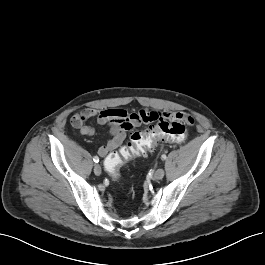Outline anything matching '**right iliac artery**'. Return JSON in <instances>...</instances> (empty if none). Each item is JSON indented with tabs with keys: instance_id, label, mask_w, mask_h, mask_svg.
Listing matches in <instances>:
<instances>
[{
	"instance_id": "82829eb1",
	"label": "right iliac artery",
	"mask_w": 265,
	"mask_h": 265,
	"mask_svg": "<svg viewBox=\"0 0 265 265\" xmlns=\"http://www.w3.org/2000/svg\"><path fill=\"white\" fill-rule=\"evenodd\" d=\"M93 160H94V162L98 163V162H99V157H98V156H95V157L93 158Z\"/></svg>"
}]
</instances>
